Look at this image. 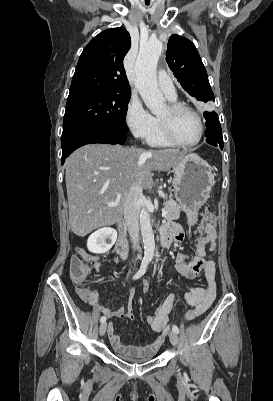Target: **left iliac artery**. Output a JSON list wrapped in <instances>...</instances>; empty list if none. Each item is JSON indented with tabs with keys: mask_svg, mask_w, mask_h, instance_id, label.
I'll use <instances>...</instances> for the list:
<instances>
[{
	"mask_svg": "<svg viewBox=\"0 0 273 401\" xmlns=\"http://www.w3.org/2000/svg\"><path fill=\"white\" fill-rule=\"evenodd\" d=\"M172 330H173V332H175V333H179V328L176 326V325H174L173 327H172Z\"/></svg>",
	"mask_w": 273,
	"mask_h": 401,
	"instance_id": "left-iliac-artery-1",
	"label": "left iliac artery"
}]
</instances>
